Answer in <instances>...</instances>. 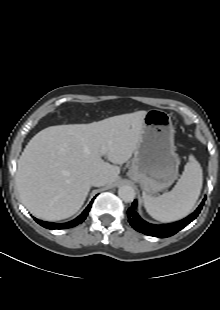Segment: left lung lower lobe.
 <instances>
[{"label":"left lung lower lobe","instance_id":"obj_1","mask_svg":"<svg viewBox=\"0 0 220 310\" xmlns=\"http://www.w3.org/2000/svg\"><path fill=\"white\" fill-rule=\"evenodd\" d=\"M206 197L203 199L199 207L195 210L194 213L186 217L185 219L171 223V224H164V225H154L150 224L146 221H144L138 213L136 212L137 207V201L135 200L132 203L131 208L128 209V217L129 222L132 225V227L148 236H154L159 238H165L170 237L174 234H176L178 231L186 227L190 222H192L200 213L204 203H205Z\"/></svg>","mask_w":220,"mask_h":310}]
</instances>
